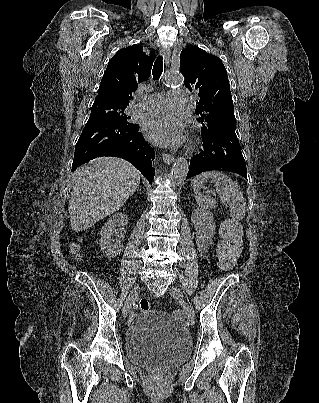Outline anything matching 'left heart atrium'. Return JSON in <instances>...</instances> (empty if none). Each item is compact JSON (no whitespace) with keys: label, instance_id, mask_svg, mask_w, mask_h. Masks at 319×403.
Listing matches in <instances>:
<instances>
[{"label":"left heart atrium","instance_id":"left-heart-atrium-1","mask_svg":"<svg viewBox=\"0 0 319 403\" xmlns=\"http://www.w3.org/2000/svg\"><path fill=\"white\" fill-rule=\"evenodd\" d=\"M145 137L164 147H176L184 142V125L181 118L172 112H160L147 116L142 124Z\"/></svg>","mask_w":319,"mask_h":403}]
</instances>
